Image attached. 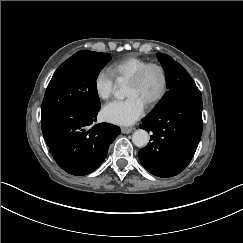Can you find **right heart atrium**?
I'll list each match as a JSON object with an SVG mask.
<instances>
[{"label": "right heart atrium", "instance_id": "obj_1", "mask_svg": "<svg viewBox=\"0 0 243 243\" xmlns=\"http://www.w3.org/2000/svg\"><path fill=\"white\" fill-rule=\"evenodd\" d=\"M115 86V77L111 69L103 66L97 70L93 78V89L99 100L111 97Z\"/></svg>", "mask_w": 243, "mask_h": 243}]
</instances>
